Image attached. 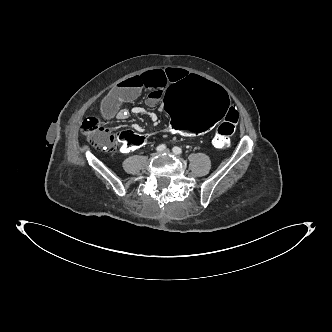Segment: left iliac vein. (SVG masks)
<instances>
[{"label":"left iliac vein","mask_w":332,"mask_h":332,"mask_svg":"<svg viewBox=\"0 0 332 332\" xmlns=\"http://www.w3.org/2000/svg\"><path fill=\"white\" fill-rule=\"evenodd\" d=\"M163 152L164 153H170V150L169 149H165Z\"/></svg>","instance_id":"obj_1"}]
</instances>
